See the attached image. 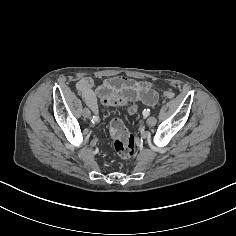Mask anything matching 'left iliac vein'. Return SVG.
I'll use <instances>...</instances> for the list:
<instances>
[{"instance_id":"obj_1","label":"left iliac vein","mask_w":236,"mask_h":236,"mask_svg":"<svg viewBox=\"0 0 236 236\" xmlns=\"http://www.w3.org/2000/svg\"><path fill=\"white\" fill-rule=\"evenodd\" d=\"M156 122H157V119L153 116H151L147 119V124L149 126H154L156 124Z\"/></svg>"}]
</instances>
